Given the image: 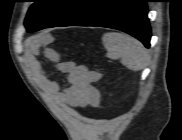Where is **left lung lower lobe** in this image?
<instances>
[{"mask_svg": "<svg viewBox=\"0 0 182 140\" xmlns=\"http://www.w3.org/2000/svg\"><path fill=\"white\" fill-rule=\"evenodd\" d=\"M147 0H104L69 26H97L118 29L150 47L151 28Z\"/></svg>", "mask_w": 182, "mask_h": 140, "instance_id": "obj_1", "label": "left lung lower lobe"}]
</instances>
